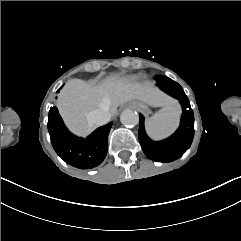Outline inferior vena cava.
Wrapping results in <instances>:
<instances>
[{
	"mask_svg": "<svg viewBox=\"0 0 241 241\" xmlns=\"http://www.w3.org/2000/svg\"><path fill=\"white\" fill-rule=\"evenodd\" d=\"M111 118L110 106L104 105L98 109L92 110L87 114V120L91 125H103L109 122Z\"/></svg>",
	"mask_w": 241,
	"mask_h": 241,
	"instance_id": "obj_1",
	"label": "inferior vena cava"
}]
</instances>
